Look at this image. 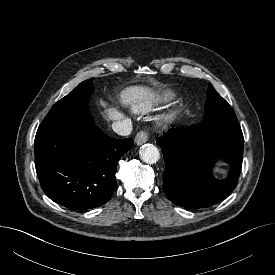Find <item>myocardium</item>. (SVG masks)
<instances>
[{
	"label": "myocardium",
	"mask_w": 275,
	"mask_h": 275,
	"mask_svg": "<svg viewBox=\"0 0 275 275\" xmlns=\"http://www.w3.org/2000/svg\"><path fill=\"white\" fill-rule=\"evenodd\" d=\"M177 116H178L177 112H171V113L167 114L162 119V123H161L162 126H164V127L172 126L176 122Z\"/></svg>",
	"instance_id": "1"
}]
</instances>
